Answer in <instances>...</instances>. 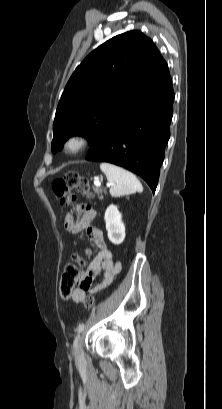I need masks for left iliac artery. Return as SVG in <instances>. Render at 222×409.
Masks as SVG:
<instances>
[{
  "instance_id": "1",
  "label": "left iliac artery",
  "mask_w": 222,
  "mask_h": 409,
  "mask_svg": "<svg viewBox=\"0 0 222 409\" xmlns=\"http://www.w3.org/2000/svg\"><path fill=\"white\" fill-rule=\"evenodd\" d=\"M85 325L83 323L79 324L78 328H77V332L80 333L83 331Z\"/></svg>"
}]
</instances>
